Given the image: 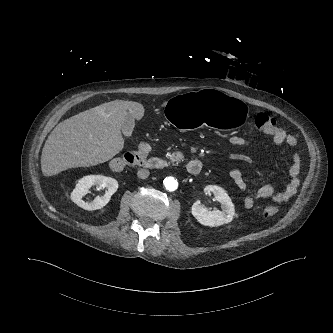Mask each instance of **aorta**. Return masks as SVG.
<instances>
[{"instance_id":"1","label":"aorta","mask_w":333,"mask_h":333,"mask_svg":"<svg viewBox=\"0 0 333 333\" xmlns=\"http://www.w3.org/2000/svg\"><path fill=\"white\" fill-rule=\"evenodd\" d=\"M164 186L169 191H175L178 187V182L173 177H167L164 180Z\"/></svg>"}]
</instances>
